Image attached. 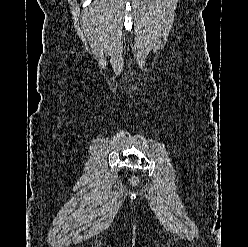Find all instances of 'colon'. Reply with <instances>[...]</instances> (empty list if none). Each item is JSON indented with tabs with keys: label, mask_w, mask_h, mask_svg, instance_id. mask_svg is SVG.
I'll list each match as a JSON object with an SVG mask.
<instances>
[{
	"label": "colon",
	"mask_w": 248,
	"mask_h": 247,
	"mask_svg": "<svg viewBox=\"0 0 248 247\" xmlns=\"http://www.w3.org/2000/svg\"><path fill=\"white\" fill-rule=\"evenodd\" d=\"M137 181H138V180H137V178H135V177L131 179V183H133V184L137 183Z\"/></svg>",
	"instance_id": "1"
}]
</instances>
